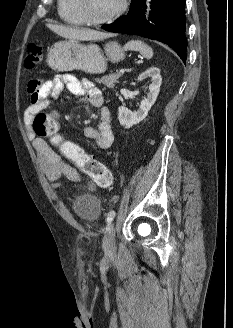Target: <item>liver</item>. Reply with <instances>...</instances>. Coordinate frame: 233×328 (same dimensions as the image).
I'll return each mask as SVG.
<instances>
[{
  "mask_svg": "<svg viewBox=\"0 0 233 328\" xmlns=\"http://www.w3.org/2000/svg\"><path fill=\"white\" fill-rule=\"evenodd\" d=\"M46 26L57 35L65 39H69L71 41L100 40L106 36L105 33L92 29L68 27V26L54 25V24H47Z\"/></svg>",
  "mask_w": 233,
  "mask_h": 328,
  "instance_id": "liver-1",
  "label": "liver"
}]
</instances>
